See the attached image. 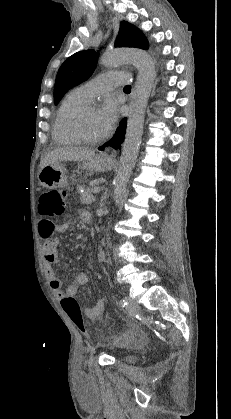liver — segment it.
Wrapping results in <instances>:
<instances>
[{"label":"liver","instance_id":"obj_1","mask_svg":"<svg viewBox=\"0 0 231 419\" xmlns=\"http://www.w3.org/2000/svg\"><path fill=\"white\" fill-rule=\"evenodd\" d=\"M95 155L94 150L80 147H61L48 153L40 162V169L47 165L61 161H85Z\"/></svg>","mask_w":231,"mask_h":419}]
</instances>
